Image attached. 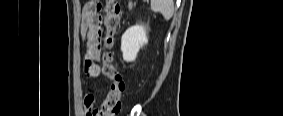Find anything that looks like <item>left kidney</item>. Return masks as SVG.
<instances>
[{
    "instance_id": "obj_1",
    "label": "left kidney",
    "mask_w": 283,
    "mask_h": 116,
    "mask_svg": "<svg viewBox=\"0 0 283 116\" xmlns=\"http://www.w3.org/2000/svg\"><path fill=\"white\" fill-rule=\"evenodd\" d=\"M148 43L146 29L143 25L128 28L121 38V51L126 62L134 61L140 48Z\"/></svg>"
}]
</instances>
